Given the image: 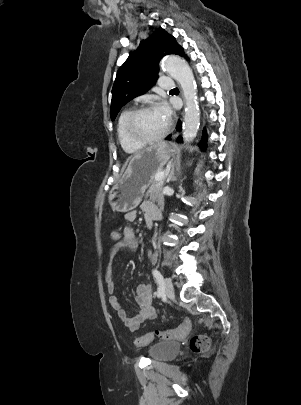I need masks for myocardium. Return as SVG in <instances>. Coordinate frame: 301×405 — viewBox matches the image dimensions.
<instances>
[{
  "mask_svg": "<svg viewBox=\"0 0 301 405\" xmlns=\"http://www.w3.org/2000/svg\"><path fill=\"white\" fill-rule=\"evenodd\" d=\"M151 109H153L151 106H141V107H138V108L132 110L130 112V114L128 115L126 124H125V131H126L128 138L132 142L142 145V146L148 145V144H153V143H156V142L162 140L163 138H165L167 136V134L169 133L170 128H171L170 122H167L166 127L160 134H158L157 136L151 137V138L141 137L135 132L134 125H135V121H136L137 117L140 114H142L148 110H151Z\"/></svg>",
  "mask_w": 301,
  "mask_h": 405,
  "instance_id": "f54148a6",
  "label": "myocardium"
}]
</instances>
